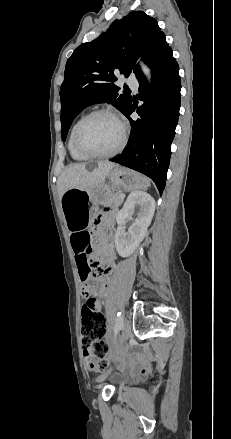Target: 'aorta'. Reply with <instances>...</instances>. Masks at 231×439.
I'll return each mask as SVG.
<instances>
[{"label": "aorta", "instance_id": "obj_1", "mask_svg": "<svg viewBox=\"0 0 231 439\" xmlns=\"http://www.w3.org/2000/svg\"><path fill=\"white\" fill-rule=\"evenodd\" d=\"M138 62H139V64H140V66H141V69H142L144 75L147 77V79H148L149 82H150V81H151V72H150L149 67H148L147 65H145V64H144L142 61H140V60H138Z\"/></svg>", "mask_w": 231, "mask_h": 439}]
</instances>
